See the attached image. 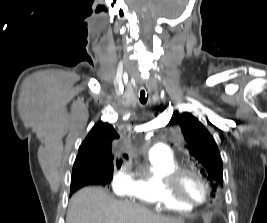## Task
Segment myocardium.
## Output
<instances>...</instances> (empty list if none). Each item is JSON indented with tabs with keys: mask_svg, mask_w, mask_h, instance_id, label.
I'll list each match as a JSON object with an SVG mask.
<instances>
[{
	"mask_svg": "<svg viewBox=\"0 0 267 223\" xmlns=\"http://www.w3.org/2000/svg\"><path fill=\"white\" fill-rule=\"evenodd\" d=\"M195 176L202 184L204 188V197L200 201H194L185 197L180 190V183L182 178L187 175ZM164 188L167 196L185 206L199 207L207 202L210 196V186L204 176L197 170L189 167H178L175 170L168 173L164 179Z\"/></svg>",
	"mask_w": 267,
	"mask_h": 223,
	"instance_id": "f54148a6",
	"label": "myocardium"
}]
</instances>
